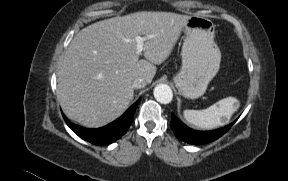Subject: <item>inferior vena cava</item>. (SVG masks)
<instances>
[{
  "label": "inferior vena cava",
  "instance_id": "1",
  "mask_svg": "<svg viewBox=\"0 0 288 181\" xmlns=\"http://www.w3.org/2000/svg\"><path fill=\"white\" fill-rule=\"evenodd\" d=\"M146 86L144 78L138 77L133 81V87L135 89L143 88Z\"/></svg>",
  "mask_w": 288,
  "mask_h": 181
}]
</instances>
